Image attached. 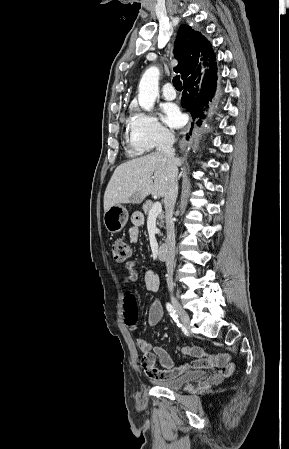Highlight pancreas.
<instances>
[{
  "mask_svg": "<svg viewBox=\"0 0 289 449\" xmlns=\"http://www.w3.org/2000/svg\"><path fill=\"white\" fill-rule=\"evenodd\" d=\"M153 205H154L153 202L150 200L146 201L143 204L142 209L147 216H149V211L151 210ZM157 218H158L157 225L159 227H162L164 225V214L161 212Z\"/></svg>",
  "mask_w": 289,
  "mask_h": 449,
  "instance_id": "obj_1",
  "label": "pancreas"
}]
</instances>
